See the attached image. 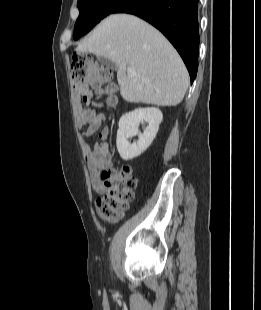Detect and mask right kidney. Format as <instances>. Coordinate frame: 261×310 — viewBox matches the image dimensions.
Returning a JSON list of instances; mask_svg holds the SVG:
<instances>
[{
	"label": "right kidney",
	"mask_w": 261,
	"mask_h": 310,
	"mask_svg": "<svg viewBox=\"0 0 261 310\" xmlns=\"http://www.w3.org/2000/svg\"><path fill=\"white\" fill-rule=\"evenodd\" d=\"M163 114L155 107L138 108L124 114L119 120L117 131V150L123 160H132L142 154L152 143L162 122ZM141 122L148 123L143 133H139ZM138 135L137 142L130 144L129 139Z\"/></svg>",
	"instance_id": "1"
}]
</instances>
